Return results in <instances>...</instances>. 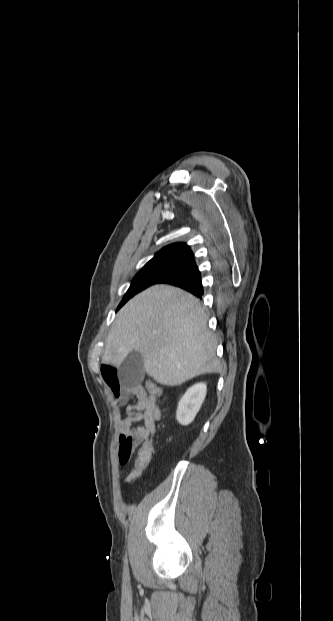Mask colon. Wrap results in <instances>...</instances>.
<instances>
[{"instance_id": "colon-1", "label": "colon", "mask_w": 333, "mask_h": 621, "mask_svg": "<svg viewBox=\"0 0 333 621\" xmlns=\"http://www.w3.org/2000/svg\"><path fill=\"white\" fill-rule=\"evenodd\" d=\"M149 388H150L151 393L156 398H160L161 397V395H162V388L160 387V385H158L157 383H155L153 381H150L149 382ZM139 445L140 446H139L138 451H137L134 467H133L132 471L130 472V474L127 477V481L129 483L134 482L135 480H137L142 475V473L148 467V465H149V463L151 461V458H152L153 447H152V443L150 441V438H146V439L142 440Z\"/></svg>"}]
</instances>
